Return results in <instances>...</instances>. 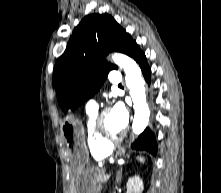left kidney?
I'll use <instances>...</instances> for the list:
<instances>
[{
  "label": "left kidney",
  "instance_id": "left-kidney-1",
  "mask_svg": "<svg viewBox=\"0 0 221 193\" xmlns=\"http://www.w3.org/2000/svg\"><path fill=\"white\" fill-rule=\"evenodd\" d=\"M126 187V193H141L144 189L143 181L139 176H133L132 178H129Z\"/></svg>",
  "mask_w": 221,
  "mask_h": 193
}]
</instances>
